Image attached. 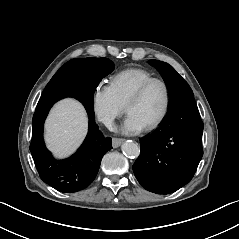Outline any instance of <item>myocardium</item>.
Listing matches in <instances>:
<instances>
[{
    "label": "myocardium",
    "mask_w": 239,
    "mask_h": 239,
    "mask_svg": "<svg viewBox=\"0 0 239 239\" xmlns=\"http://www.w3.org/2000/svg\"><path fill=\"white\" fill-rule=\"evenodd\" d=\"M154 83H160L164 87L165 106H164V109H163L161 115L153 123L145 126V130H147V131L155 130L158 127H160L169 115V112L171 109V104H172V93H171V89H170V86L167 83V81H165L162 78H158V77H153V78L145 81L134 91V93L131 95V97L129 98L127 105H126V111L129 112L130 107L133 104H135L136 102H138L144 96V94L148 90V88L151 85H153Z\"/></svg>",
    "instance_id": "myocardium-1"
}]
</instances>
